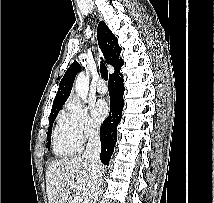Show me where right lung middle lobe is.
Listing matches in <instances>:
<instances>
[{
	"instance_id": "obj_1",
	"label": "right lung middle lobe",
	"mask_w": 214,
	"mask_h": 203,
	"mask_svg": "<svg viewBox=\"0 0 214 203\" xmlns=\"http://www.w3.org/2000/svg\"><path fill=\"white\" fill-rule=\"evenodd\" d=\"M57 114L58 113L50 115V118H49V125L50 126H49V129H48V136H47V139H48V144H47L48 150L50 149V139H51L52 124H53L54 120L56 119Z\"/></svg>"
}]
</instances>
